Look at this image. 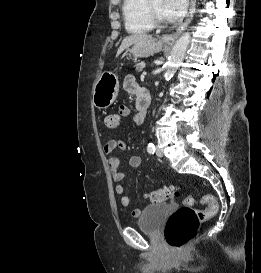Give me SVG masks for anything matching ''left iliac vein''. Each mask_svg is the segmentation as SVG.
I'll use <instances>...</instances> for the list:
<instances>
[{"label": "left iliac vein", "instance_id": "4c4485c4", "mask_svg": "<svg viewBox=\"0 0 261 273\" xmlns=\"http://www.w3.org/2000/svg\"><path fill=\"white\" fill-rule=\"evenodd\" d=\"M156 155L158 156V157H162L163 156V151L157 146V148H156Z\"/></svg>", "mask_w": 261, "mask_h": 273}]
</instances>
